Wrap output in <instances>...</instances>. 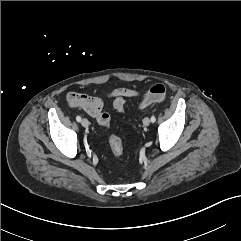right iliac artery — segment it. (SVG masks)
Wrapping results in <instances>:
<instances>
[{
	"instance_id": "1",
	"label": "right iliac artery",
	"mask_w": 241,
	"mask_h": 241,
	"mask_svg": "<svg viewBox=\"0 0 241 241\" xmlns=\"http://www.w3.org/2000/svg\"><path fill=\"white\" fill-rule=\"evenodd\" d=\"M76 120H77V122H80V121H81V117H80V116H77V117H76Z\"/></svg>"
}]
</instances>
